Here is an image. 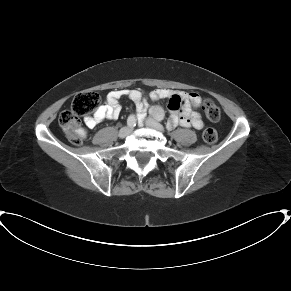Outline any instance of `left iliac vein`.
Here are the masks:
<instances>
[{
	"label": "left iliac vein",
	"mask_w": 291,
	"mask_h": 291,
	"mask_svg": "<svg viewBox=\"0 0 291 291\" xmlns=\"http://www.w3.org/2000/svg\"><path fill=\"white\" fill-rule=\"evenodd\" d=\"M144 123H145V126L149 128H153L157 131H163V126L159 122L154 120L153 118H146Z\"/></svg>",
	"instance_id": "obj_1"
}]
</instances>
